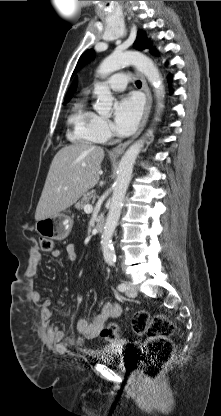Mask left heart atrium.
Returning <instances> with one entry per match:
<instances>
[{
  "instance_id": "obj_1",
  "label": "left heart atrium",
  "mask_w": 221,
  "mask_h": 416,
  "mask_svg": "<svg viewBox=\"0 0 221 416\" xmlns=\"http://www.w3.org/2000/svg\"><path fill=\"white\" fill-rule=\"evenodd\" d=\"M142 102L137 95L123 96L115 107L114 127L120 134H129L137 127L142 115Z\"/></svg>"
}]
</instances>
